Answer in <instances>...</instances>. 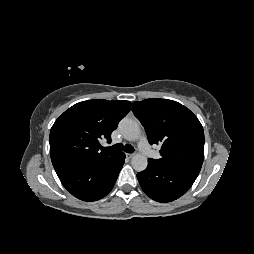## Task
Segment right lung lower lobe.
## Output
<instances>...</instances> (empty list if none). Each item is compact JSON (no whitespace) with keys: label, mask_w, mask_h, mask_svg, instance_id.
<instances>
[{"label":"right lung lower lobe","mask_w":254,"mask_h":254,"mask_svg":"<svg viewBox=\"0 0 254 254\" xmlns=\"http://www.w3.org/2000/svg\"><path fill=\"white\" fill-rule=\"evenodd\" d=\"M125 154L117 153L97 161H72L55 171L67 191L83 201H96L113 188L124 164Z\"/></svg>","instance_id":"right-lung-lower-lobe-1"}]
</instances>
